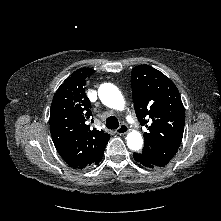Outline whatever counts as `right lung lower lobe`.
Here are the masks:
<instances>
[{"label":"right lung lower lobe","instance_id":"98d812e1","mask_svg":"<svg viewBox=\"0 0 221 221\" xmlns=\"http://www.w3.org/2000/svg\"><path fill=\"white\" fill-rule=\"evenodd\" d=\"M102 156H103V155H102ZM102 156L99 158V160H98L95 164H98V163L101 161Z\"/></svg>","mask_w":221,"mask_h":221}]
</instances>
